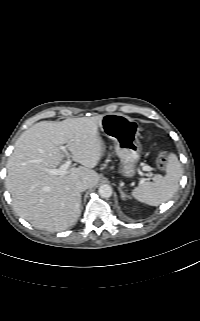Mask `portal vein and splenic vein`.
<instances>
[{"mask_svg": "<svg viewBox=\"0 0 200 321\" xmlns=\"http://www.w3.org/2000/svg\"><path fill=\"white\" fill-rule=\"evenodd\" d=\"M60 149L68 156V160L64 164H62L60 166V168H58V169H48L47 173L50 174V175L63 176L65 174H67L68 168L71 165L70 155L66 150V146H61ZM142 169L144 171H149V172H151L153 170V168L148 166V165H144L142 167ZM150 178H151V173H149L148 178H143L142 181L149 180Z\"/></svg>", "mask_w": 200, "mask_h": 321, "instance_id": "1", "label": "portal vein and splenic vein"}]
</instances>
